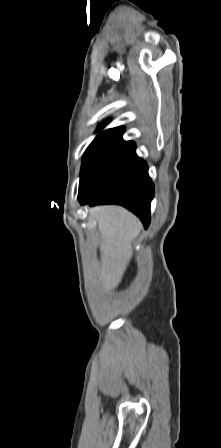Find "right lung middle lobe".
I'll list each match as a JSON object with an SVG mask.
<instances>
[{
    "mask_svg": "<svg viewBox=\"0 0 221 448\" xmlns=\"http://www.w3.org/2000/svg\"><path fill=\"white\" fill-rule=\"evenodd\" d=\"M112 148H87L82 159L79 190L85 185L93 171L103 161V159L112 151Z\"/></svg>",
    "mask_w": 221,
    "mask_h": 448,
    "instance_id": "dd1d6c3e",
    "label": "right lung middle lobe"
}]
</instances>
